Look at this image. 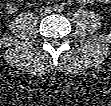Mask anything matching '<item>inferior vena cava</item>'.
Wrapping results in <instances>:
<instances>
[{
  "label": "inferior vena cava",
  "instance_id": "1",
  "mask_svg": "<svg viewBox=\"0 0 111 106\" xmlns=\"http://www.w3.org/2000/svg\"><path fill=\"white\" fill-rule=\"evenodd\" d=\"M50 8L49 7H41L40 8V13L43 15V14H49L50 13Z\"/></svg>",
  "mask_w": 111,
  "mask_h": 106
}]
</instances>
